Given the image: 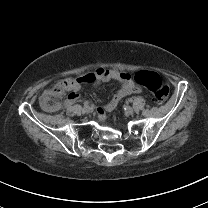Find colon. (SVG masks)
Wrapping results in <instances>:
<instances>
[{
    "label": "colon",
    "mask_w": 208,
    "mask_h": 208,
    "mask_svg": "<svg viewBox=\"0 0 208 208\" xmlns=\"http://www.w3.org/2000/svg\"><path fill=\"white\" fill-rule=\"evenodd\" d=\"M136 83L144 86L159 102L164 101L169 94V87L166 82L155 72L140 71L134 75ZM84 84H76V88H83ZM75 82L71 78L54 83L49 90H46L39 98L38 108L40 111L56 112L60 108V100L73 94Z\"/></svg>",
    "instance_id": "5ec220e1"
}]
</instances>
